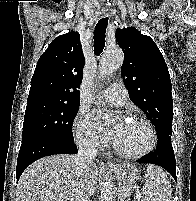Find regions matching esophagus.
I'll return each instance as SVG.
<instances>
[{
	"mask_svg": "<svg viewBox=\"0 0 196 201\" xmlns=\"http://www.w3.org/2000/svg\"><path fill=\"white\" fill-rule=\"evenodd\" d=\"M102 13H103L104 15L108 16V15L111 13V10H110V9H103V10H102ZM107 164H108V165H111L112 162H111V161H108Z\"/></svg>",
	"mask_w": 196,
	"mask_h": 201,
	"instance_id": "1",
	"label": "esophagus"
}]
</instances>
